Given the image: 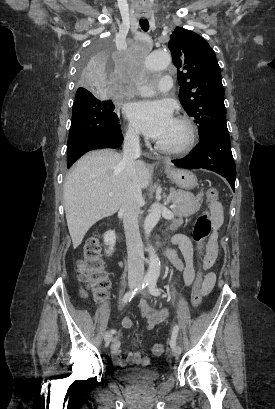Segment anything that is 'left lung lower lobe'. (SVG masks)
Listing matches in <instances>:
<instances>
[{
	"mask_svg": "<svg viewBox=\"0 0 275 409\" xmlns=\"http://www.w3.org/2000/svg\"><path fill=\"white\" fill-rule=\"evenodd\" d=\"M172 162L183 168L214 171L225 177L235 191L236 167L228 131L217 130L206 134L187 156Z\"/></svg>",
	"mask_w": 275,
	"mask_h": 409,
	"instance_id": "obj_1",
	"label": "left lung lower lobe"
}]
</instances>
